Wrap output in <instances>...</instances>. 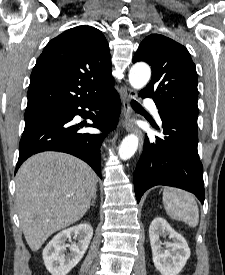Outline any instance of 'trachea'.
I'll use <instances>...</instances> for the list:
<instances>
[{
  "label": "trachea",
  "instance_id": "obj_1",
  "mask_svg": "<svg viewBox=\"0 0 225 275\" xmlns=\"http://www.w3.org/2000/svg\"><path fill=\"white\" fill-rule=\"evenodd\" d=\"M131 105H132V107L135 108V109H143V108L140 106V104L137 103L136 101H132V102H131Z\"/></svg>",
  "mask_w": 225,
  "mask_h": 275
}]
</instances>
